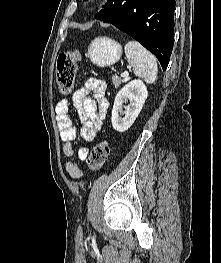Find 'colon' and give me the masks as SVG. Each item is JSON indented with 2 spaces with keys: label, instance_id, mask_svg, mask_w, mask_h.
Listing matches in <instances>:
<instances>
[{
  "label": "colon",
  "instance_id": "1",
  "mask_svg": "<svg viewBox=\"0 0 221 263\" xmlns=\"http://www.w3.org/2000/svg\"><path fill=\"white\" fill-rule=\"evenodd\" d=\"M80 59L81 54L76 49L59 55L57 59L56 83L61 94H69L72 91ZM109 153L108 142L102 141L96 144L86 158L88 168L91 170L100 169L107 161Z\"/></svg>",
  "mask_w": 221,
  "mask_h": 263
}]
</instances>
